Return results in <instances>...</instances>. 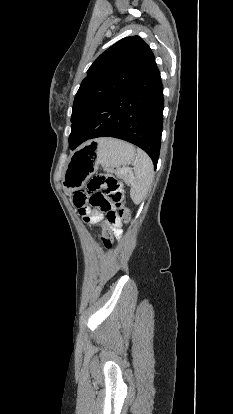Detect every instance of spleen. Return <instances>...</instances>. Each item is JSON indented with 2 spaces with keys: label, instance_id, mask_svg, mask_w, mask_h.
<instances>
[{
  "label": "spleen",
  "instance_id": "3e777b00",
  "mask_svg": "<svg viewBox=\"0 0 233 414\" xmlns=\"http://www.w3.org/2000/svg\"><path fill=\"white\" fill-rule=\"evenodd\" d=\"M154 178V167L150 157L137 149V162L134 164V178L131 183L130 196L135 204H140L146 197Z\"/></svg>",
  "mask_w": 233,
  "mask_h": 414
}]
</instances>
